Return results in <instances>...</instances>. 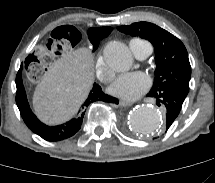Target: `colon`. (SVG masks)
<instances>
[{"instance_id": "colon-1", "label": "colon", "mask_w": 215, "mask_h": 183, "mask_svg": "<svg viewBox=\"0 0 215 183\" xmlns=\"http://www.w3.org/2000/svg\"><path fill=\"white\" fill-rule=\"evenodd\" d=\"M81 31L71 25L54 30L48 37L37 42L24 62V73L31 80H42L50 72L56 61L82 44Z\"/></svg>"}]
</instances>
